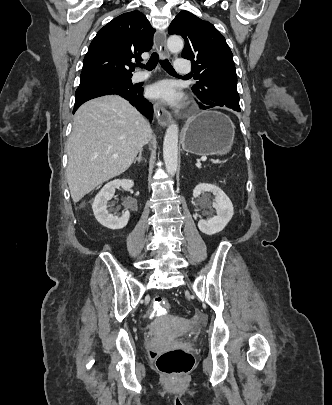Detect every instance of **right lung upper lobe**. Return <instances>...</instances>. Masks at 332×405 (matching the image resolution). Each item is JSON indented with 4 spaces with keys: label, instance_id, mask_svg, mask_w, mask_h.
Masks as SVG:
<instances>
[{
    "label": "right lung upper lobe",
    "instance_id": "1",
    "mask_svg": "<svg viewBox=\"0 0 332 405\" xmlns=\"http://www.w3.org/2000/svg\"><path fill=\"white\" fill-rule=\"evenodd\" d=\"M155 30L139 11L121 14L99 30L85 55L81 76H132L131 59L152 48Z\"/></svg>",
    "mask_w": 332,
    "mask_h": 405
}]
</instances>
